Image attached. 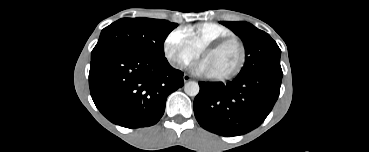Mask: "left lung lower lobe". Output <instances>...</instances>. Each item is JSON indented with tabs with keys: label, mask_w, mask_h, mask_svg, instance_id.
Instances as JSON below:
<instances>
[{
	"label": "left lung lower lobe",
	"mask_w": 369,
	"mask_h": 152,
	"mask_svg": "<svg viewBox=\"0 0 369 152\" xmlns=\"http://www.w3.org/2000/svg\"><path fill=\"white\" fill-rule=\"evenodd\" d=\"M282 72L237 75L227 84L199 82L194 114L204 129L226 137L250 132L263 123L280 92Z\"/></svg>",
	"instance_id": "obj_1"
}]
</instances>
